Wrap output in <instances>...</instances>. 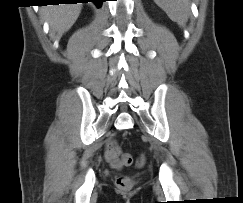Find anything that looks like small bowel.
Returning a JSON list of instances; mask_svg holds the SVG:
<instances>
[{
  "mask_svg": "<svg viewBox=\"0 0 243 203\" xmlns=\"http://www.w3.org/2000/svg\"><path fill=\"white\" fill-rule=\"evenodd\" d=\"M117 148H116V145L114 142H110L106 148V151H105V157H106V160L108 161V163L113 166L114 168H121L122 165H120L119 163H117L115 160H114V157H115V154L117 152Z\"/></svg>",
  "mask_w": 243,
  "mask_h": 203,
  "instance_id": "obj_1",
  "label": "small bowel"
}]
</instances>
